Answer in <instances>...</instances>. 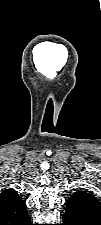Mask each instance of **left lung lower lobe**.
Listing matches in <instances>:
<instances>
[{
	"label": "left lung lower lobe",
	"mask_w": 101,
	"mask_h": 225,
	"mask_svg": "<svg viewBox=\"0 0 101 225\" xmlns=\"http://www.w3.org/2000/svg\"><path fill=\"white\" fill-rule=\"evenodd\" d=\"M62 225H101V218L84 212L66 210Z\"/></svg>",
	"instance_id": "obj_1"
}]
</instances>
